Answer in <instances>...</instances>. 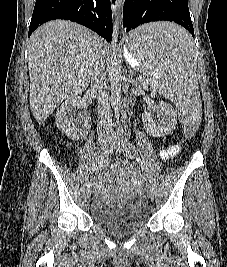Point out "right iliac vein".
<instances>
[{
  "instance_id": "obj_1",
  "label": "right iliac vein",
  "mask_w": 227,
  "mask_h": 267,
  "mask_svg": "<svg viewBox=\"0 0 227 267\" xmlns=\"http://www.w3.org/2000/svg\"><path fill=\"white\" fill-rule=\"evenodd\" d=\"M110 144H111V141L107 136L100 137V146L102 150L108 149ZM91 194H92V183H90L89 186L87 187V191H86L87 198H89Z\"/></svg>"
}]
</instances>
